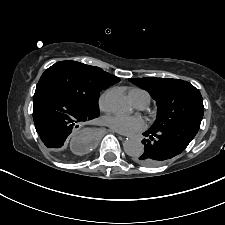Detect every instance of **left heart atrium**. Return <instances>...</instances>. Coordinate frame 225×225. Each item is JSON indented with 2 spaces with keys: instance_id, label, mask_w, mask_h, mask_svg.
<instances>
[{
  "instance_id": "39dd6f15",
  "label": "left heart atrium",
  "mask_w": 225,
  "mask_h": 225,
  "mask_svg": "<svg viewBox=\"0 0 225 225\" xmlns=\"http://www.w3.org/2000/svg\"><path fill=\"white\" fill-rule=\"evenodd\" d=\"M104 121L111 129L122 134H131L145 127L144 120L136 115L111 114L106 116Z\"/></svg>"
}]
</instances>
